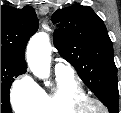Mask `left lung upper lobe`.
I'll return each instance as SVG.
<instances>
[{"instance_id": "1", "label": "left lung upper lobe", "mask_w": 121, "mask_h": 113, "mask_svg": "<svg viewBox=\"0 0 121 113\" xmlns=\"http://www.w3.org/2000/svg\"><path fill=\"white\" fill-rule=\"evenodd\" d=\"M52 22L58 26L53 40L60 55L109 112L118 113L117 68L103 21L90 7L73 5L56 11Z\"/></svg>"}]
</instances>
